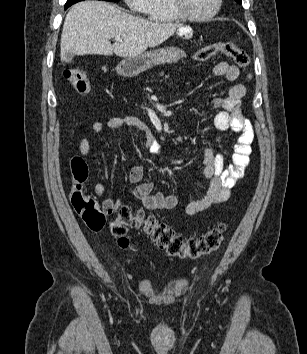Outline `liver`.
<instances>
[{"instance_id":"6515ba94","label":"liver","mask_w":307,"mask_h":354,"mask_svg":"<svg viewBox=\"0 0 307 354\" xmlns=\"http://www.w3.org/2000/svg\"><path fill=\"white\" fill-rule=\"evenodd\" d=\"M180 24L150 22L127 14L103 1H83L71 7L66 15L60 43V56L105 55L135 57L172 36ZM122 41L111 44V38Z\"/></svg>"}]
</instances>
